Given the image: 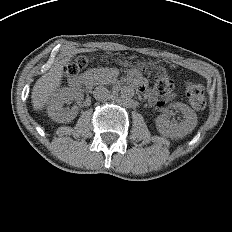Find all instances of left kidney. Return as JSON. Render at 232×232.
Here are the masks:
<instances>
[{
  "instance_id": "left-kidney-1",
  "label": "left kidney",
  "mask_w": 232,
  "mask_h": 232,
  "mask_svg": "<svg viewBox=\"0 0 232 232\" xmlns=\"http://www.w3.org/2000/svg\"><path fill=\"white\" fill-rule=\"evenodd\" d=\"M175 110H179L183 115V120L173 122L169 120V114L163 113L156 118V128L158 132L169 138H182L192 132L197 125V115L188 105L177 102L172 104Z\"/></svg>"
}]
</instances>
